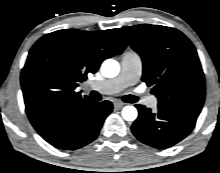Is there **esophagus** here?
<instances>
[{
    "label": "esophagus",
    "mask_w": 220,
    "mask_h": 173,
    "mask_svg": "<svg viewBox=\"0 0 220 173\" xmlns=\"http://www.w3.org/2000/svg\"><path fill=\"white\" fill-rule=\"evenodd\" d=\"M125 105V103L124 102H122L121 100H117L116 102H115V107L116 108H121L122 106H124Z\"/></svg>",
    "instance_id": "obj_1"
}]
</instances>
